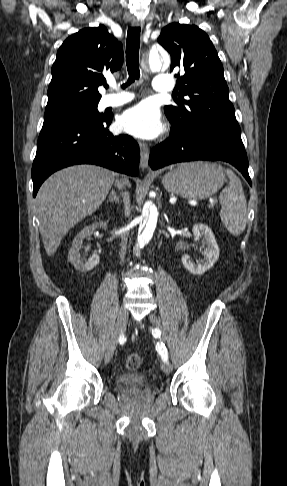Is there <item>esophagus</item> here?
I'll use <instances>...</instances> for the list:
<instances>
[{
  "label": "esophagus",
  "instance_id": "1",
  "mask_svg": "<svg viewBox=\"0 0 287 486\" xmlns=\"http://www.w3.org/2000/svg\"><path fill=\"white\" fill-rule=\"evenodd\" d=\"M132 25L134 27H143V22L140 20H133ZM140 148V167L142 169L148 168L149 161V147L146 143L139 141Z\"/></svg>",
  "mask_w": 287,
  "mask_h": 486
}]
</instances>
